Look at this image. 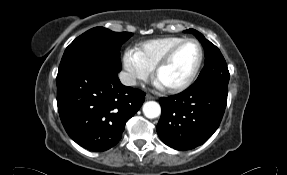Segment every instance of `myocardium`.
Returning <instances> with one entry per match:
<instances>
[{
  "label": "myocardium",
  "instance_id": "myocardium-1",
  "mask_svg": "<svg viewBox=\"0 0 287 175\" xmlns=\"http://www.w3.org/2000/svg\"><path fill=\"white\" fill-rule=\"evenodd\" d=\"M191 42L195 43L199 48V59H198V62L196 64V67L193 70L192 74L188 77V79L186 81H184L183 83L176 85V86H164V89L169 93H172V94L181 93V92L185 91L186 89H188L195 82L196 78L199 75V72L201 70V67H202L203 61H204V49H203L202 44L197 39H194V38L184 39L180 43L173 46L164 55V57L158 62V64L155 67V78L159 81V75H160L161 70L164 67H166L172 61L175 54L178 52V50L181 47H183L185 44L191 43Z\"/></svg>",
  "mask_w": 287,
  "mask_h": 175
}]
</instances>
